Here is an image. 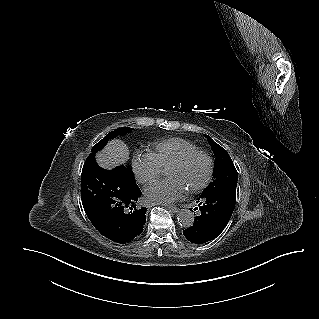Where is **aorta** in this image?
Returning a JSON list of instances; mask_svg holds the SVG:
<instances>
[{
	"label": "aorta",
	"instance_id": "762f6f07",
	"mask_svg": "<svg viewBox=\"0 0 319 319\" xmlns=\"http://www.w3.org/2000/svg\"><path fill=\"white\" fill-rule=\"evenodd\" d=\"M177 222L183 227H190L194 222V213L189 209H181L177 215Z\"/></svg>",
	"mask_w": 319,
	"mask_h": 319
}]
</instances>
